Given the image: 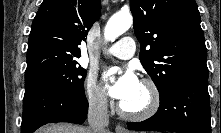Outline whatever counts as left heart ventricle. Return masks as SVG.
<instances>
[{
	"mask_svg": "<svg viewBox=\"0 0 221 133\" xmlns=\"http://www.w3.org/2000/svg\"><path fill=\"white\" fill-rule=\"evenodd\" d=\"M148 100H149L148 91L142 84H140V87L133 95V97L123 102V105L126 109L130 111H138L143 109L147 105Z\"/></svg>",
	"mask_w": 221,
	"mask_h": 133,
	"instance_id": "left-heart-ventricle-1",
	"label": "left heart ventricle"
}]
</instances>
